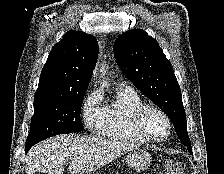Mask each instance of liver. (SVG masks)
<instances>
[{
	"label": "liver",
	"mask_w": 224,
	"mask_h": 174,
	"mask_svg": "<svg viewBox=\"0 0 224 174\" xmlns=\"http://www.w3.org/2000/svg\"><path fill=\"white\" fill-rule=\"evenodd\" d=\"M136 148L135 144L121 141L60 135L42 141L30 149L25 171L27 174H63L64 165L69 160V173L86 174Z\"/></svg>",
	"instance_id": "liver-1"
}]
</instances>
